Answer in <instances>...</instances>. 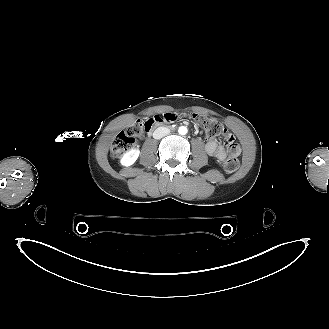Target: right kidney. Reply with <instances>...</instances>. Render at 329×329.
Returning <instances> with one entry per match:
<instances>
[{"label":"right kidney","instance_id":"obj_1","mask_svg":"<svg viewBox=\"0 0 329 329\" xmlns=\"http://www.w3.org/2000/svg\"><path fill=\"white\" fill-rule=\"evenodd\" d=\"M139 155H140L139 149H131L122 155L120 159V163L124 167H130L137 161Z\"/></svg>","mask_w":329,"mask_h":329}]
</instances>
